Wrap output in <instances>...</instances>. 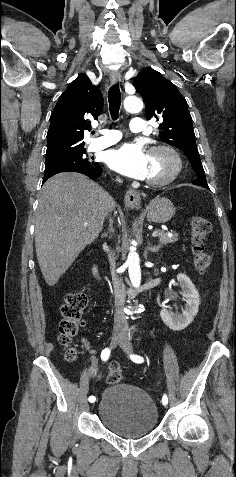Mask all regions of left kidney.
I'll use <instances>...</instances> for the list:
<instances>
[{
  "label": "left kidney",
  "mask_w": 236,
  "mask_h": 477,
  "mask_svg": "<svg viewBox=\"0 0 236 477\" xmlns=\"http://www.w3.org/2000/svg\"><path fill=\"white\" fill-rule=\"evenodd\" d=\"M177 280L182 289V296L185 298V309L182 313H172L163 308L160 312L162 321L173 331L185 329L198 313L200 304L199 293L192 281L185 274H178Z\"/></svg>",
  "instance_id": "1"
}]
</instances>
